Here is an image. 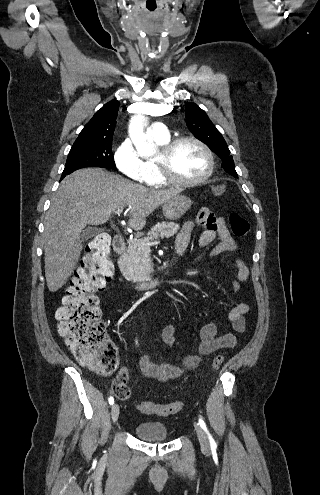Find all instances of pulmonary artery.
Listing matches in <instances>:
<instances>
[{
	"instance_id": "1",
	"label": "pulmonary artery",
	"mask_w": 320,
	"mask_h": 495,
	"mask_svg": "<svg viewBox=\"0 0 320 495\" xmlns=\"http://www.w3.org/2000/svg\"><path fill=\"white\" fill-rule=\"evenodd\" d=\"M150 137L155 139L166 140L169 139V131L165 124L161 122H155L151 124L147 130Z\"/></svg>"
}]
</instances>
